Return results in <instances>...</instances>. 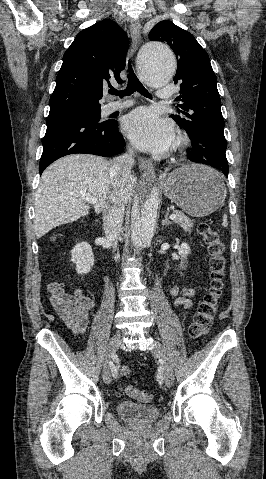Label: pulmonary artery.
<instances>
[{"label": "pulmonary artery", "mask_w": 266, "mask_h": 479, "mask_svg": "<svg viewBox=\"0 0 266 479\" xmlns=\"http://www.w3.org/2000/svg\"><path fill=\"white\" fill-rule=\"evenodd\" d=\"M173 93H174V89L169 85H165L158 90L157 95L159 98L169 99L173 96ZM131 104H132L131 100L110 102L106 105V110L108 113H112L114 111L129 107Z\"/></svg>", "instance_id": "e3ab8cb5"}]
</instances>
